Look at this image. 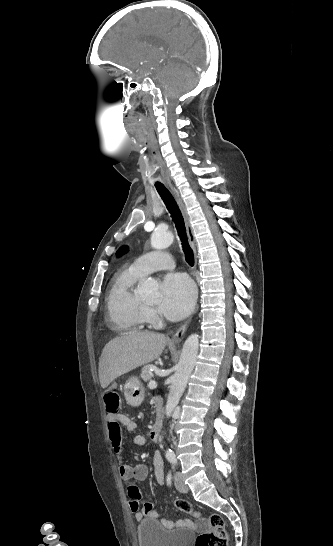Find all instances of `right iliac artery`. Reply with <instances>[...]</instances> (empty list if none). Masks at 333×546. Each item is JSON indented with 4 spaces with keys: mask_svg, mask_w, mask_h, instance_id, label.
Masks as SVG:
<instances>
[{
    "mask_svg": "<svg viewBox=\"0 0 333 546\" xmlns=\"http://www.w3.org/2000/svg\"><path fill=\"white\" fill-rule=\"evenodd\" d=\"M167 483L168 485H171V473H169L167 476Z\"/></svg>",
    "mask_w": 333,
    "mask_h": 546,
    "instance_id": "obj_1",
    "label": "right iliac artery"
}]
</instances>
